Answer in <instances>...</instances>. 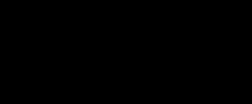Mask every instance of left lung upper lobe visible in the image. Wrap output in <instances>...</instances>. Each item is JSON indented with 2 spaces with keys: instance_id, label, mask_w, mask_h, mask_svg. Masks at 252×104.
<instances>
[{
  "instance_id": "obj_1",
  "label": "left lung upper lobe",
  "mask_w": 252,
  "mask_h": 104,
  "mask_svg": "<svg viewBox=\"0 0 252 104\" xmlns=\"http://www.w3.org/2000/svg\"><path fill=\"white\" fill-rule=\"evenodd\" d=\"M214 74V63L208 50L201 45H196L193 52L191 67L184 73L185 79L195 77H208Z\"/></svg>"
}]
</instances>
